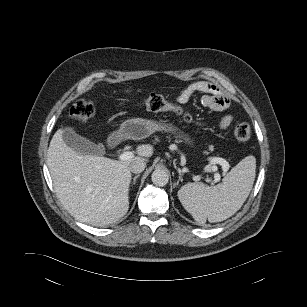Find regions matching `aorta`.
<instances>
[{
	"mask_svg": "<svg viewBox=\"0 0 307 307\" xmlns=\"http://www.w3.org/2000/svg\"><path fill=\"white\" fill-rule=\"evenodd\" d=\"M151 180L154 185L162 187L168 183L169 174L166 170L158 168L152 173Z\"/></svg>",
	"mask_w": 307,
	"mask_h": 307,
	"instance_id": "aorta-1",
	"label": "aorta"
}]
</instances>
